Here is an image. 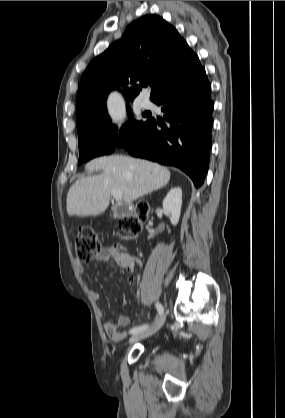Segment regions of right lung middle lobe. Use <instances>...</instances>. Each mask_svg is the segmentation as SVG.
Here are the masks:
<instances>
[{
  "label": "right lung middle lobe",
  "instance_id": "dd1d6c3e",
  "mask_svg": "<svg viewBox=\"0 0 285 418\" xmlns=\"http://www.w3.org/2000/svg\"><path fill=\"white\" fill-rule=\"evenodd\" d=\"M128 113L130 114V107L127 105ZM144 117L148 116L146 113ZM129 120L120 129V135L117 137V128L111 123L107 112H104L93 119L84 121L77 125L78 142L80 157L78 164L85 163L90 159L110 154L114 150V144L117 142L118 147H122L125 143L130 141L137 133H139L150 121Z\"/></svg>",
  "mask_w": 285,
  "mask_h": 418
}]
</instances>
